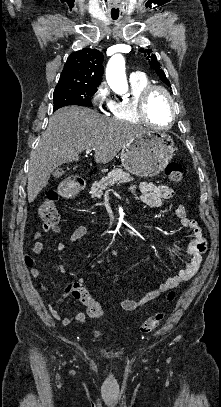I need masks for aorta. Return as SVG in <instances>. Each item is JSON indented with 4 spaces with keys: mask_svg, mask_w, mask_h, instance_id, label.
<instances>
[{
    "mask_svg": "<svg viewBox=\"0 0 221 407\" xmlns=\"http://www.w3.org/2000/svg\"><path fill=\"white\" fill-rule=\"evenodd\" d=\"M106 79L115 93L126 96L128 84L125 74V60L121 54H116L109 60L106 68Z\"/></svg>",
    "mask_w": 221,
    "mask_h": 407,
    "instance_id": "762f6f07",
    "label": "aorta"
}]
</instances>
